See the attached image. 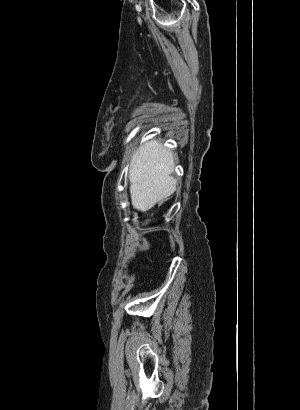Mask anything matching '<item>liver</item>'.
I'll return each instance as SVG.
<instances>
[{
  "label": "liver",
  "mask_w": 300,
  "mask_h": 410,
  "mask_svg": "<svg viewBox=\"0 0 300 410\" xmlns=\"http://www.w3.org/2000/svg\"><path fill=\"white\" fill-rule=\"evenodd\" d=\"M175 167L173 152L156 139L141 145L132 156L130 195L133 208L145 212L176 190L171 176Z\"/></svg>",
  "instance_id": "1"
}]
</instances>
